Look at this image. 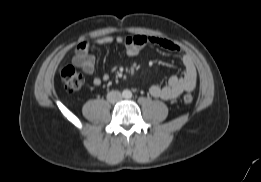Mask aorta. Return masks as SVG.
I'll return each mask as SVG.
<instances>
[{
	"instance_id": "1",
	"label": "aorta",
	"mask_w": 261,
	"mask_h": 182,
	"mask_svg": "<svg viewBox=\"0 0 261 182\" xmlns=\"http://www.w3.org/2000/svg\"><path fill=\"white\" fill-rule=\"evenodd\" d=\"M123 95L125 98H130L132 94L130 91H125Z\"/></svg>"
}]
</instances>
